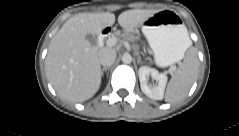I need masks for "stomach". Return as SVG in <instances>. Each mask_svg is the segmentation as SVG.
Masks as SVG:
<instances>
[{"instance_id": "0dacf381", "label": "stomach", "mask_w": 239, "mask_h": 136, "mask_svg": "<svg viewBox=\"0 0 239 136\" xmlns=\"http://www.w3.org/2000/svg\"><path fill=\"white\" fill-rule=\"evenodd\" d=\"M141 25L158 66L166 67L183 59L189 47V36L178 14L169 10L158 11Z\"/></svg>"}]
</instances>
